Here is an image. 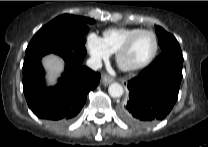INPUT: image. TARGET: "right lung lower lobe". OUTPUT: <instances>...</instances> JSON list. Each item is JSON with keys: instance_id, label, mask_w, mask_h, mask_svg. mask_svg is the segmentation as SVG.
I'll list each match as a JSON object with an SVG mask.
<instances>
[{"instance_id": "obj_1", "label": "right lung lower lobe", "mask_w": 208, "mask_h": 147, "mask_svg": "<svg viewBox=\"0 0 208 147\" xmlns=\"http://www.w3.org/2000/svg\"><path fill=\"white\" fill-rule=\"evenodd\" d=\"M70 48L76 50L72 54ZM49 53L65 60L66 70L54 88H45L41 58ZM86 50L81 42L68 33L30 42L23 64V91L32 112L55 124L71 121L86 102L87 94L97 87L100 74L82 66Z\"/></svg>"}]
</instances>
